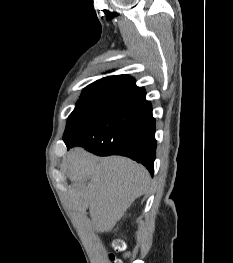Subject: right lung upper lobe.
<instances>
[{
  "instance_id": "1",
  "label": "right lung upper lobe",
  "mask_w": 233,
  "mask_h": 263,
  "mask_svg": "<svg viewBox=\"0 0 233 263\" xmlns=\"http://www.w3.org/2000/svg\"><path fill=\"white\" fill-rule=\"evenodd\" d=\"M136 87L134 78L128 75L108 76L88 85L82 95H112L118 97Z\"/></svg>"
}]
</instances>
